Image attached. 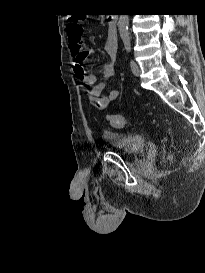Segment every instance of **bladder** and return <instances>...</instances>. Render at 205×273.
I'll return each instance as SVG.
<instances>
[{
	"label": "bladder",
	"mask_w": 205,
	"mask_h": 273,
	"mask_svg": "<svg viewBox=\"0 0 205 273\" xmlns=\"http://www.w3.org/2000/svg\"><path fill=\"white\" fill-rule=\"evenodd\" d=\"M103 139L107 146L121 151L126 155L137 157L144 154L146 150V140L136 133H122L104 130Z\"/></svg>",
	"instance_id": "1"
}]
</instances>
